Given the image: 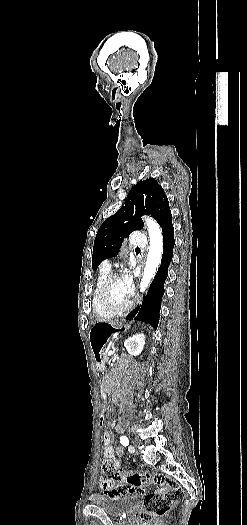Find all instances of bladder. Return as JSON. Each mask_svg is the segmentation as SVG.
I'll return each mask as SVG.
<instances>
[{
    "mask_svg": "<svg viewBox=\"0 0 247 525\" xmlns=\"http://www.w3.org/2000/svg\"><path fill=\"white\" fill-rule=\"evenodd\" d=\"M93 500L94 505L104 510L110 517L120 518L142 507L139 497L134 495H121L115 498L95 495Z\"/></svg>",
    "mask_w": 247,
    "mask_h": 525,
    "instance_id": "obj_1",
    "label": "bladder"
}]
</instances>
